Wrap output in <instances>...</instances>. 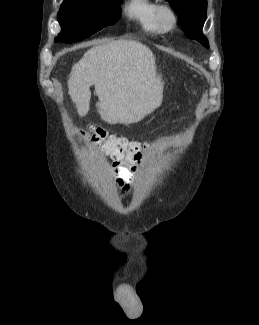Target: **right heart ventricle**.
<instances>
[{"instance_id": "obj_1", "label": "right heart ventricle", "mask_w": 259, "mask_h": 325, "mask_svg": "<svg viewBox=\"0 0 259 325\" xmlns=\"http://www.w3.org/2000/svg\"><path fill=\"white\" fill-rule=\"evenodd\" d=\"M157 0H129L126 6L127 16L141 29L152 34L162 33L156 22Z\"/></svg>"}]
</instances>
